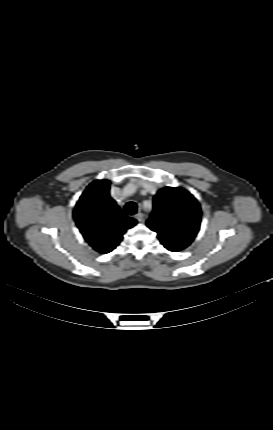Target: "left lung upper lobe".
I'll return each instance as SVG.
<instances>
[{
  "instance_id": "5c2ea615",
  "label": "left lung upper lobe",
  "mask_w": 273,
  "mask_h": 430,
  "mask_svg": "<svg viewBox=\"0 0 273 430\" xmlns=\"http://www.w3.org/2000/svg\"><path fill=\"white\" fill-rule=\"evenodd\" d=\"M201 222L198 201L182 188L165 187L154 196L151 217L146 225L157 233L169 251L186 248L197 235Z\"/></svg>"
}]
</instances>
